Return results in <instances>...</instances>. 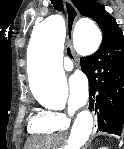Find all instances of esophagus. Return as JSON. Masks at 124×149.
<instances>
[{
  "label": "esophagus",
  "instance_id": "34e87169",
  "mask_svg": "<svg viewBox=\"0 0 124 149\" xmlns=\"http://www.w3.org/2000/svg\"><path fill=\"white\" fill-rule=\"evenodd\" d=\"M63 2L67 16V45L71 47L73 28L79 18V12L70 0H64Z\"/></svg>",
  "mask_w": 124,
  "mask_h": 149
}]
</instances>
